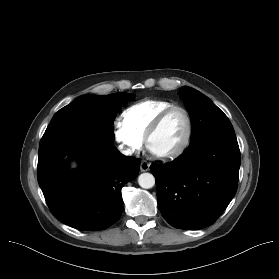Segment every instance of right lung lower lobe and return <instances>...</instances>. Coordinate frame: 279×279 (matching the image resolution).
Listing matches in <instances>:
<instances>
[{"label": "right lung lower lobe", "mask_w": 279, "mask_h": 279, "mask_svg": "<svg viewBox=\"0 0 279 279\" xmlns=\"http://www.w3.org/2000/svg\"><path fill=\"white\" fill-rule=\"evenodd\" d=\"M79 168L69 170V159ZM37 177L48 207L62 223L97 231L123 211L122 187L136 178L140 160L125 157L113 142L82 126L45 133L39 144ZM70 177V184L65 178Z\"/></svg>", "instance_id": "1"}]
</instances>
